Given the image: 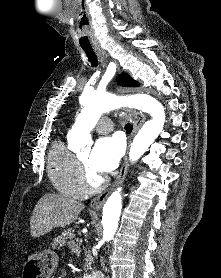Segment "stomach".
I'll return each mask as SVG.
<instances>
[{
	"mask_svg": "<svg viewBox=\"0 0 221 278\" xmlns=\"http://www.w3.org/2000/svg\"><path fill=\"white\" fill-rule=\"evenodd\" d=\"M57 266L58 256L50 250H44L27 257L23 275L24 278H50Z\"/></svg>",
	"mask_w": 221,
	"mask_h": 278,
	"instance_id": "1",
	"label": "stomach"
}]
</instances>
